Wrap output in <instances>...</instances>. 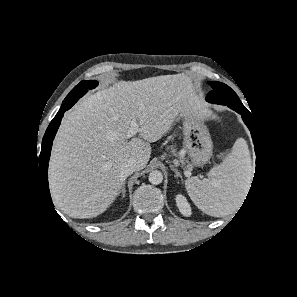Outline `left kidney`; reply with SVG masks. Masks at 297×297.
Masks as SVG:
<instances>
[{
	"label": "left kidney",
	"instance_id": "obj_1",
	"mask_svg": "<svg viewBox=\"0 0 297 297\" xmlns=\"http://www.w3.org/2000/svg\"><path fill=\"white\" fill-rule=\"evenodd\" d=\"M177 207L181 214L184 216H190L192 214L191 207L187 202V199L182 194H178L175 198Z\"/></svg>",
	"mask_w": 297,
	"mask_h": 297
}]
</instances>
